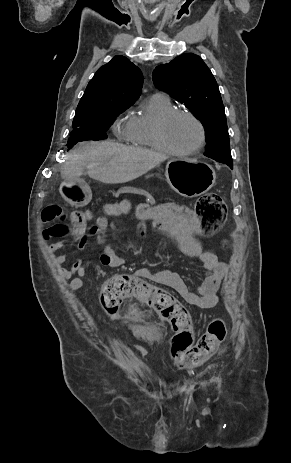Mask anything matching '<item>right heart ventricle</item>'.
I'll list each match as a JSON object with an SVG mask.
<instances>
[{
	"label": "right heart ventricle",
	"instance_id": "right-heart-ventricle-1",
	"mask_svg": "<svg viewBox=\"0 0 291 463\" xmlns=\"http://www.w3.org/2000/svg\"><path fill=\"white\" fill-rule=\"evenodd\" d=\"M173 109L171 101L164 94L156 93L147 98L129 119V142L135 146L160 150L155 140L154 127L160 117Z\"/></svg>",
	"mask_w": 291,
	"mask_h": 463
}]
</instances>
